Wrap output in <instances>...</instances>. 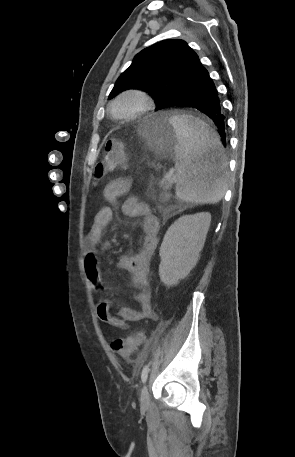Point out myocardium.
I'll use <instances>...</instances> for the list:
<instances>
[{
    "mask_svg": "<svg viewBox=\"0 0 295 457\" xmlns=\"http://www.w3.org/2000/svg\"><path fill=\"white\" fill-rule=\"evenodd\" d=\"M132 98L136 100V108L128 114H118L116 112V105L126 99ZM154 106L152 96L145 90L142 89H128L119 93L110 104V112L112 116L118 120H132L138 118L147 112H149Z\"/></svg>",
    "mask_w": 295,
    "mask_h": 457,
    "instance_id": "myocardium-1",
    "label": "myocardium"
}]
</instances>
